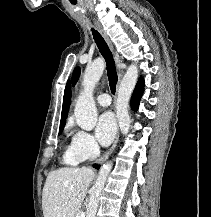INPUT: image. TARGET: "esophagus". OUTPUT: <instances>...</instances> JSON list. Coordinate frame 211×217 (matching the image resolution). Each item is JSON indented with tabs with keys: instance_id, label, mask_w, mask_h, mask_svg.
<instances>
[{
	"instance_id": "1",
	"label": "esophagus",
	"mask_w": 211,
	"mask_h": 217,
	"mask_svg": "<svg viewBox=\"0 0 211 217\" xmlns=\"http://www.w3.org/2000/svg\"><path fill=\"white\" fill-rule=\"evenodd\" d=\"M94 24H95L96 28L98 29L99 33L101 34V36L104 38L107 45L109 46L110 50L113 53L114 59H115L116 63L118 64L120 62V58H119L118 53L115 51L114 46H113L109 36L105 32V30L102 28V26L99 24V22L94 21ZM122 77H123V72H122V70L118 69L117 88L119 87V85L121 83ZM118 140H119V129L117 130V134L115 136V139H114V142H113L112 146L99 158L98 163H102L106 159H108V157L114 151V149H115V147H116V145L118 143Z\"/></svg>"
}]
</instances>
